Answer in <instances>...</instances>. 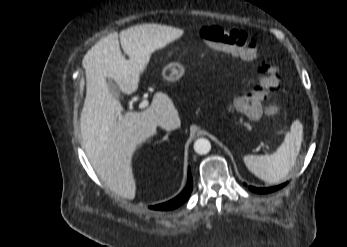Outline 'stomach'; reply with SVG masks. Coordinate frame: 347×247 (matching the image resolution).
I'll return each mask as SVG.
<instances>
[{"label":"stomach","instance_id":"1","mask_svg":"<svg viewBox=\"0 0 347 247\" xmlns=\"http://www.w3.org/2000/svg\"><path fill=\"white\" fill-rule=\"evenodd\" d=\"M184 74V68L176 64H169L164 67L162 75L167 81H175Z\"/></svg>","mask_w":347,"mask_h":247}]
</instances>
